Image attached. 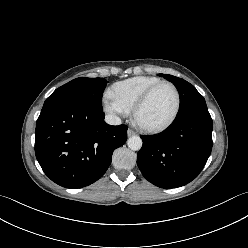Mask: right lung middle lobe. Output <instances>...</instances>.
Returning a JSON list of instances; mask_svg holds the SVG:
<instances>
[{"mask_svg":"<svg viewBox=\"0 0 248 248\" xmlns=\"http://www.w3.org/2000/svg\"><path fill=\"white\" fill-rule=\"evenodd\" d=\"M106 83L103 78H76L56 89L44 105L57 101H77L102 110L101 96Z\"/></svg>","mask_w":248,"mask_h":248,"instance_id":"right-lung-middle-lobe-1","label":"right lung middle lobe"}]
</instances>
